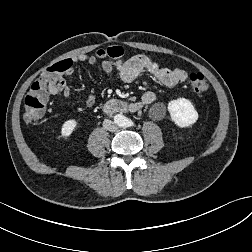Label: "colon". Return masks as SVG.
<instances>
[{
  "instance_id": "colon-1",
  "label": "colon",
  "mask_w": 252,
  "mask_h": 252,
  "mask_svg": "<svg viewBox=\"0 0 252 252\" xmlns=\"http://www.w3.org/2000/svg\"><path fill=\"white\" fill-rule=\"evenodd\" d=\"M96 55L99 58L116 62L123 57L124 51L118 46H113L107 49H99ZM69 68L70 64L67 60L60 61L49 67L33 82L30 92L24 99L23 112L26 122H36L44 116L48 100V88L57 84L61 75ZM188 81L191 91L195 94H204L209 90V84L201 73H191L188 76Z\"/></svg>"
}]
</instances>
